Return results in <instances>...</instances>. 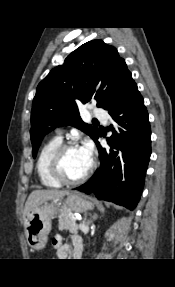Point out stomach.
I'll use <instances>...</instances> for the list:
<instances>
[{
    "label": "stomach",
    "mask_w": 175,
    "mask_h": 287,
    "mask_svg": "<svg viewBox=\"0 0 175 287\" xmlns=\"http://www.w3.org/2000/svg\"><path fill=\"white\" fill-rule=\"evenodd\" d=\"M69 211L85 212L93 204L79 192H70L64 200ZM58 213V206L53 202H45L31 210L24 220L25 236L28 245L34 250L42 249L51 231V221Z\"/></svg>",
    "instance_id": "stomach-1"
}]
</instances>
